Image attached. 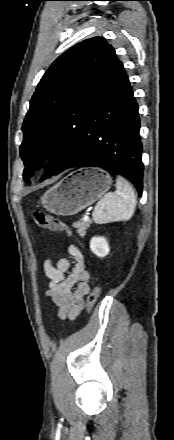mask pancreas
<instances>
[{
	"mask_svg": "<svg viewBox=\"0 0 174 440\" xmlns=\"http://www.w3.org/2000/svg\"><path fill=\"white\" fill-rule=\"evenodd\" d=\"M91 224H92L91 220L77 221V222L73 223V227L77 228V233L83 237L86 235V230L90 227Z\"/></svg>",
	"mask_w": 174,
	"mask_h": 440,
	"instance_id": "cf45deb5",
	"label": "pancreas"
}]
</instances>
